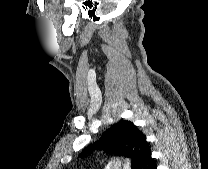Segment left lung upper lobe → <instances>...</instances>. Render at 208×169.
I'll return each instance as SVG.
<instances>
[{
    "instance_id": "left-lung-upper-lobe-1",
    "label": "left lung upper lobe",
    "mask_w": 208,
    "mask_h": 169,
    "mask_svg": "<svg viewBox=\"0 0 208 169\" xmlns=\"http://www.w3.org/2000/svg\"><path fill=\"white\" fill-rule=\"evenodd\" d=\"M149 149L145 135L131 121H120L106 130L95 143L83 149L80 156L94 150L131 159L132 169H137L140 159Z\"/></svg>"
}]
</instances>
